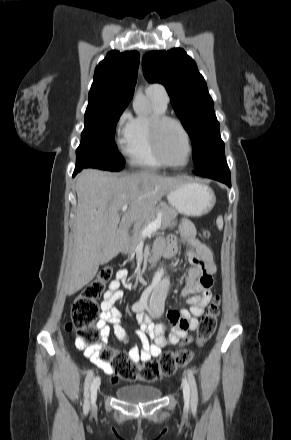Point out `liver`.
I'll return each instance as SVG.
<instances>
[{
	"instance_id": "1",
	"label": "liver",
	"mask_w": 291,
	"mask_h": 440,
	"mask_svg": "<svg viewBox=\"0 0 291 440\" xmlns=\"http://www.w3.org/2000/svg\"><path fill=\"white\" fill-rule=\"evenodd\" d=\"M182 181L153 171L120 177L96 169L81 172L76 180L75 248L68 294L92 281L99 265L127 245L126 229L149 217L161 198ZM125 205L129 210L120 222L119 211Z\"/></svg>"
}]
</instances>
